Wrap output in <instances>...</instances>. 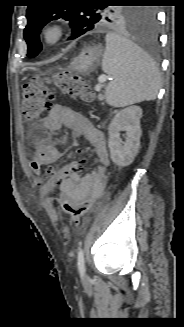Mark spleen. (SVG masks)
I'll use <instances>...</instances> for the list:
<instances>
[{"label": "spleen", "mask_w": 184, "mask_h": 327, "mask_svg": "<svg viewBox=\"0 0 184 327\" xmlns=\"http://www.w3.org/2000/svg\"><path fill=\"white\" fill-rule=\"evenodd\" d=\"M102 69L112 81L106 87V100L124 107L154 100L160 88V74L150 57L129 39L108 33Z\"/></svg>", "instance_id": "obj_1"}]
</instances>
